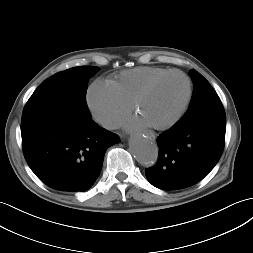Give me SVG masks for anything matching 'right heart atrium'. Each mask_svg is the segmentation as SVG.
<instances>
[{"label": "right heart atrium", "instance_id": "d8ad5b80", "mask_svg": "<svg viewBox=\"0 0 253 253\" xmlns=\"http://www.w3.org/2000/svg\"><path fill=\"white\" fill-rule=\"evenodd\" d=\"M86 103L91 115L106 128H115L130 112L114 87L101 79L95 80L88 88Z\"/></svg>", "mask_w": 253, "mask_h": 253}]
</instances>
